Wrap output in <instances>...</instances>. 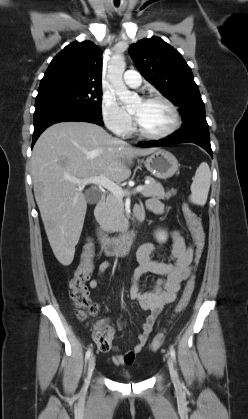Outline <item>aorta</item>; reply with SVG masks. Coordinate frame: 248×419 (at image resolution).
<instances>
[{"instance_id": "obj_1", "label": "aorta", "mask_w": 248, "mask_h": 419, "mask_svg": "<svg viewBox=\"0 0 248 419\" xmlns=\"http://www.w3.org/2000/svg\"><path fill=\"white\" fill-rule=\"evenodd\" d=\"M125 67L124 56L122 54L114 55L108 63L107 77L112 91L126 105L127 109H130L140 102V98L137 94H132L123 82Z\"/></svg>"}]
</instances>
